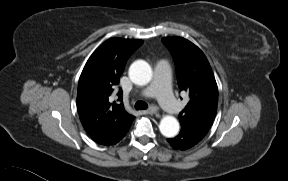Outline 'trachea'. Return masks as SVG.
Here are the masks:
<instances>
[{
    "label": "trachea",
    "mask_w": 288,
    "mask_h": 181,
    "mask_svg": "<svg viewBox=\"0 0 288 181\" xmlns=\"http://www.w3.org/2000/svg\"><path fill=\"white\" fill-rule=\"evenodd\" d=\"M148 108V104L144 101H137L135 103V109L136 110H145Z\"/></svg>",
    "instance_id": "3493384b"
}]
</instances>
